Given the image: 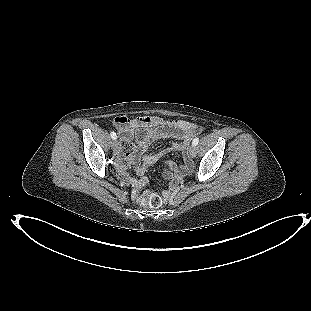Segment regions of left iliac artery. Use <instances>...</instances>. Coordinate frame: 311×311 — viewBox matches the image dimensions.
Segmentation results:
<instances>
[{"mask_svg": "<svg viewBox=\"0 0 311 311\" xmlns=\"http://www.w3.org/2000/svg\"><path fill=\"white\" fill-rule=\"evenodd\" d=\"M198 143H199V138L193 139L192 145L196 146V145H198Z\"/></svg>", "mask_w": 311, "mask_h": 311, "instance_id": "1", "label": "left iliac artery"}]
</instances>
